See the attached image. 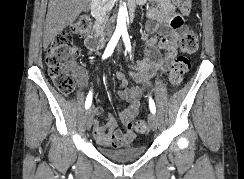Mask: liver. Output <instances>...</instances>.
Masks as SVG:
<instances>
[{
  "mask_svg": "<svg viewBox=\"0 0 244 179\" xmlns=\"http://www.w3.org/2000/svg\"><path fill=\"white\" fill-rule=\"evenodd\" d=\"M89 2L90 0H49L43 36L44 50L59 32L73 24Z\"/></svg>",
  "mask_w": 244,
  "mask_h": 179,
  "instance_id": "6515ba94",
  "label": "liver"
}]
</instances>
